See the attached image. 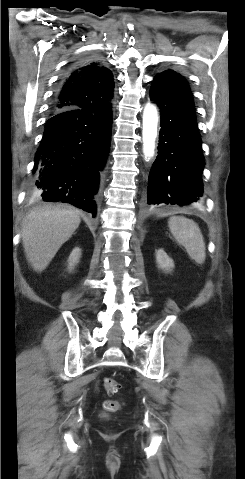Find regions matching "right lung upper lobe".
Segmentation results:
<instances>
[{"instance_id": "right-lung-upper-lobe-1", "label": "right lung upper lobe", "mask_w": 245, "mask_h": 479, "mask_svg": "<svg viewBox=\"0 0 245 479\" xmlns=\"http://www.w3.org/2000/svg\"><path fill=\"white\" fill-rule=\"evenodd\" d=\"M113 91V76L109 69L98 61H81L66 75L55 97L52 113L111 104Z\"/></svg>"}]
</instances>
